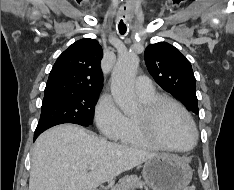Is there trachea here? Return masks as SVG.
<instances>
[{
    "label": "trachea",
    "mask_w": 234,
    "mask_h": 190,
    "mask_svg": "<svg viewBox=\"0 0 234 190\" xmlns=\"http://www.w3.org/2000/svg\"><path fill=\"white\" fill-rule=\"evenodd\" d=\"M118 29L121 35H124L126 33V25L120 23Z\"/></svg>",
    "instance_id": "3493384b"
}]
</instances>
